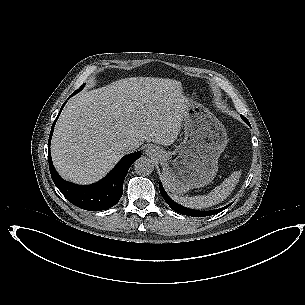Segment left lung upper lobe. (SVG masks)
Listing matches in <instances>:
<instances>
[{
	"label": "left lung upper lobe",
	"mask_w": 305,
	"mask_h": 305,
	"mask_svg": "<svg viewBox=\"0 0 305 305\" xmlns=\"http://www.w3.org/2000/svg\"><path fill=\"white\" fill-rule=\"evenodd\" d=\"M245 122L248 123L247 119H244ZM176 212L180 213V214H184V215H188V216H192V217H205V211H197V210H192V209H188L186 207H183L181 205H176Z\"/></svg>",
	"instance_id": "obj_1"
}]
</instances>
